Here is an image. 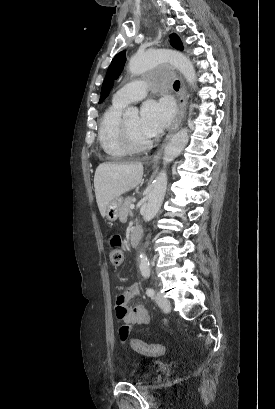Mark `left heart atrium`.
Listing matches in <instances>:
<instances>
[{"instance_id":"obj_1","label":"left heart atrium","mask_w":275,"mask_h":409,"mask_svg":"<svg viewBox=\"0 0 275 409\" xmlns=\"http://www.w3.org/2000/svg\"><path fill=\"white\" fill-rule=\"evenodd\" d=\"M173 116L171 106L164 102L146 101L141 109L140 128L149 138L159 136L170 124Z\"/></svg>"}]
</instances>
